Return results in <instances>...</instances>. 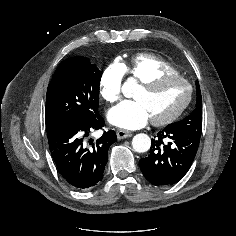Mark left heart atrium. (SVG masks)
<instances>
[{"label": "left heart atrium", "mask_w": 236, "mask_h": 236, "mask_svg": "<svg viewBox=\"0 0 236 236\" xmlns=\"http://www.w3.org/2000/svg\"><path fill=\"white\" fill-rule=\"evenodd\" d=\"M150 114L140 100L124 101L108 113L111 124L124 129H138L147 124Z\"/></svg>", "instance_id": "39dd6f15"}]
</instances>
